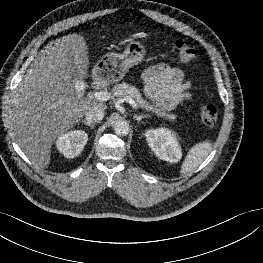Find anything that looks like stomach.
Segmentation results:
<instances>
[{"instance_id":"stomach-1","label":"stomach","mask_w":263,"mask_h":263,"mask_svg":"<svg viewBox=\"0 0 263 263\" xmlns=\"http://www.w3.org/2000/svg\"><path fill=\"white\" fill-rule=\"evenodd\" d=\"M145 56L144 45L138 41H130L122 53L109 52L99 59L92 69V77L102 83H116L130 68L140 64Z\"/></svg>"}]
</instances>
